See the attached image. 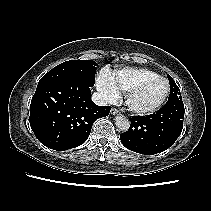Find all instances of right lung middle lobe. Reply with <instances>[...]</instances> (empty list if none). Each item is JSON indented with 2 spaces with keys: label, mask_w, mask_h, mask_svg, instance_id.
<instances>
[{
  "label": "right lung middle lobe",
  "mask_w": 211,
  "mask_h": 211,
  "mask_svg": "<svg viewBox=\"0 0 211 211\" xmlns=\"http://www.w3.org/2000/svg\"><path fill=\"white\" fill-rule=\"evenodd\" d=\"M97 63L93 60H70L56 66L45 74L37 87L62 80H81L89 86L95 83Z\"/></svg>",
  "instance_id": "right-lung-middle-lobe-1"
}]
</instances>
